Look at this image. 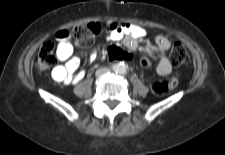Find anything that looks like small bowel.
Returning <instances> with one entry per match:
<instances>
[{
    "instance_id": "obj_1",
    "label": "small bowel",
    "mask_w": 225,
    "mask_h": 155,
    "mask_svg": "<svg viewBox=\"0 0 225 155\" xmlns=\"http://www.w3.org/2000/svg\"><path fill=\"white\" fill-rule=\"evenodd\" d=\"M107 32L110 40H122L124 45L131 50H136L139 41L146 37L144 28L129 23L118 24L110 22L107 24ZM56 39L59 42L57 47V58L64 62V65L56 66L52 71V77L55 81L64 84L76 83L85 76L84 71H78L79 59L72 56L73 48L69 42L71 31L67 27H60L56 31ZM154 43L159 54V61L156 66V72L161 76L171 73L172 65L167 56V50L170 47V40L164 35H156ZM96 58V51L91 52V59Z\"/></svg>"
}]
</instances>
